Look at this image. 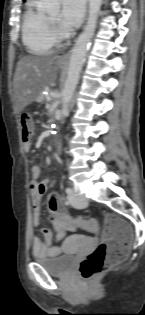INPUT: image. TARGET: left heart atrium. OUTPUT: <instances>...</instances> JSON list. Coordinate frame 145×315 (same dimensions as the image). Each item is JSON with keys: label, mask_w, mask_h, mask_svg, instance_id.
<instances>
[{"label": "left heart atrium", "mask_w": 145, "mask_h": 315, "mask_svg": "<svg viewBox=\"0 0 145 315\" xmlns=\"http://www.w3.org/2000/svg\"><path fill=\"white\" fill-rule=\"evenodd\" d=\"M85 0H63L60 23L65 30L77 27L83 18Z\"/></svg>", "instance_id": "39dd6f15"}]
</instances>
